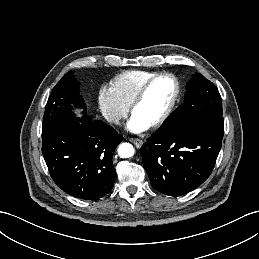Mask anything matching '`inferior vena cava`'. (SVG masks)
I'll use <instances>...</instances> for the list:
<instances>
[{"mask_svg":"<svg viewBox=\"0 0 259 259\" xmlns=\"http://www.w3.org/2000/svg\"><path fill=\"white\" fill-rule=\"evenodd\" d=\"M109 122L119 124L120 123V117H118V116L111 117V118H109Z\"/></svg>","mask_w":259,"mask_h":259,"instance_id":"inferior-vena-cava-1","label":"inferior vena cava"}]
</instances>
